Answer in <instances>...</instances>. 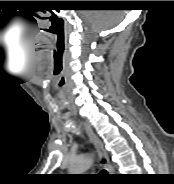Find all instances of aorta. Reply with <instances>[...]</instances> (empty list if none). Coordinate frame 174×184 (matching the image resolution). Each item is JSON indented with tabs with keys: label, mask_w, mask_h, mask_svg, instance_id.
<instances>
[{
	"label": "aorta",
	"mask_w": 174,
	"mask_h": 184,
	"mask_svg": "<svg viewBox=\"0 0 174 184\" xmlns=\"http://www.w3.org/2000/svg\"><path fill=\"white\" fill-rule=\"evenodd\" d=\"M91 163L92 158L89 155L77 157L71 162L69 172L71 174H82L90 167Z\"/></svg>",
	"instance_id": "1"
}]
</instances>
